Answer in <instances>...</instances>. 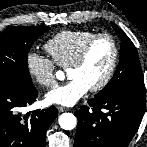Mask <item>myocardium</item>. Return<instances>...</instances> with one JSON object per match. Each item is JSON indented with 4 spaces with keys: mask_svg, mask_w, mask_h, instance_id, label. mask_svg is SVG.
<instances>
[{
    "mask_svg": "<svg viewBox=\"0 0 147 147\" xmlns=\"http://www.w3.org/2000/svg\"><path fill=\"white\" fill-rule=\"evenodd\" d=\"M102 38H107L110 40L112 47H113V57H112L110 67H109L106 75L104 76V78L98 84H96L95 86L90 88V90L92 92H99V91L103 90L104 88H106L108 86V84L113 79V76H114L116 69H117V66H118L119 56H120V49H119V45H118L116 38L108 32H102V33L95 34L93 37H91L84 44V46L81 48L80 52L78 53L77 57L75 58V60L67 67L68 70L81 67L84 64V62L86 61V58H87L92 46L99 39H102Z\"/></svg>",
    "mask_w": 147,
    "mask_h": 147,
    "instance_id": "1",
    "label": "myocardium"
}]
</instances>
